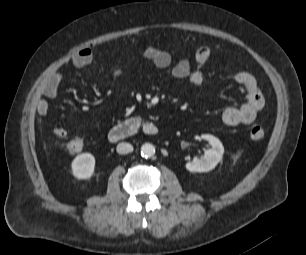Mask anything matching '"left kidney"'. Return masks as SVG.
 I'll list each match as a JSON object with an SVG mask.
<instances>
[{
    "instance_id": "1",
    "label": "left kidney",
    "mask_w": 306,
    "mask_h": 255,
    "mask_svg": "<svg viewBox=\"0 0 306 255\" xmlns=\"http://www.w3.org/2000/svg\"><path fill=\"white\" fill-rule=\"evenodd\" d=\"M201 138L206 140L211 148L204 152L201 158L195 157L192 162L186 163L185 167L189 172H208L216 167L224 154V147L221 141L213 135L203 134Z\"/></svg>"
}]
</instances>
